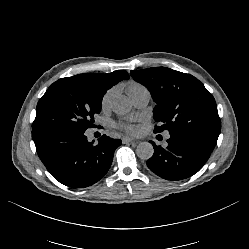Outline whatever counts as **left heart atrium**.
<instances>
[{"label":"left heart atrium","instance_id":"39dd6f15","mask_svg":"<svg viewBox=\"0 0 249 249\" xmlns=\"http://www.w3.org/2000/svg\"><path fill=\"white\" fill-rule=\"evenodd\" d=\"M116 126L130 134H135L137 132V128L130 123L120 122L117 123Z\"/></svg>","mask_w":249,"mask_h":249}]
</instances>
